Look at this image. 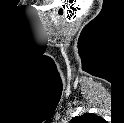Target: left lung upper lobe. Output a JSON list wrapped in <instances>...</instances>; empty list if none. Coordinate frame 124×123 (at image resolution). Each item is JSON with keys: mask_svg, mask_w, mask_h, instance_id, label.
<instances>
[{"mask_svg": "<svg viewBox=\"0 0 124 123\" xmlns=\"http://www.w3.org/2000/svg\"><path fill=\"white\" fill-rule=\"evenodd\" d=\"M95 119H99V117L92 113H85L81 116L72 118L70 123H92Z\"/></svg>", "mask_w": 124, "mask_h": 123, "instance_id": "5c2ea615", "label": "left lung upper lobe"}]
</instances>
